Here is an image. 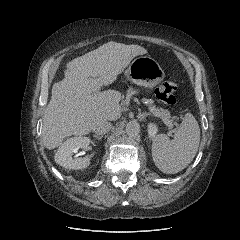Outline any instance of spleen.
Returning <instances> with one entry per match:
<instances>
[{
    "label": "spleen",
    "instance_id": "3e777b00",
    "mask_svg": "<svg viewBox=\"0 0 240 240\" xmlns=\"http://www.w3.org/2000/svg\"><path fill=\"white\" fill-rule=\"evenodd\" d=\"M199 142L198 122L191 113H187L172 140L165 134L153 140V161L164 173H178L191 163L198 151Z\"/></svg>",
    "mask_w": 240,
    "mask_h": 240
}]
</instances>
